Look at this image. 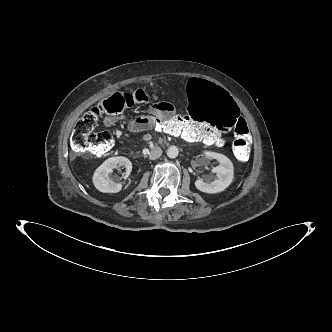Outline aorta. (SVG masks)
Masks as SVG:
<instances>
[{
	"label": "aorta",
	"mask_w": 332,
	"mask_h": 332,
	"mask_svg": "<svg viewBox=\"0 0 332 332\" xmlns=\"http://www.w3.org/2000/svg\"><path fill=\"white\" fill-rule=\"evenodd\" d=\"M179 154V150L176 146H170L168 149H167V156L169 158H176Z\"/></svg>",
	"instance_id": "obj_1"
}]
</instances>
